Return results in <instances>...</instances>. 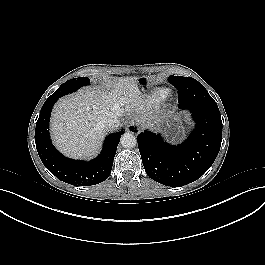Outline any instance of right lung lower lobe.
Returning a JSON list of instances; mask_svg holds the SVG:
<instances>
[{
  "label": "right lung lower lobe",
  "instance_id": "1",
  "mask_svg": "<svg viewBox=\"0 0 265 265\" xmlns=\"http://www.w3.org/2000/svg\"><path fill=\"white\" fill-rule=\"evenodd\" d=\"M56 101L57 99H47L36 124L35 143L42 163L59 180L74 186L103 182L110 175L123 130L107 136L100 155L89 162L66 158L55 149L49 137V118Z\"/></svg>",
  "mask_w": 265,
  "mask_h": 265
}]
</instances>
